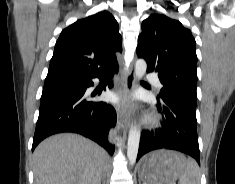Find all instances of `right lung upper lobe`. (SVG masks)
I'll use <instances>...</instances> for the list:
<instances>
[{
  "instance_id": "cb5924a9",
  "label": "right lung upper lobe",
  "mask_w": 235,
  "mask_h": 184,
  "mask_svg": "<svg viewBox=\"0 0 235 184\" xmlns=\"http://www.w3.org/2000/svg\"><path fill=\"white\" fill-rule=\"evenodd\" d=\"M122 37L115 18L103 11L64 29L56 44L48 74L97 75L117 65Z\"/></svg>"
}]
</instances>
